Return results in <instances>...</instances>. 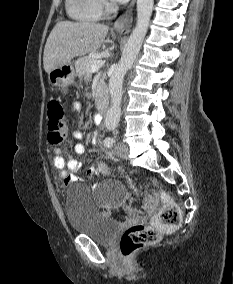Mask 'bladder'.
I'll return each mask as SVG.
<instances>
[{
    "label": "bladder",
    "instance_id": "bladder-1",
    "mask_svg": "<svg viewBox=\"0 0 233 284\" xmlns=\"http://www.w3.org/2000/svg\"><path fill=\"white\" fill-rule=\"evenodd\" d=\"M127 191L118 182L104 184L98 195L84 185H72L66 194L65 213L70 228L100 244H110L120 229V223L104 213L99 204L124 200Z\"/></svg>",
    "mask_w": 233,
    "mask_h": 284
}]
</instances>
